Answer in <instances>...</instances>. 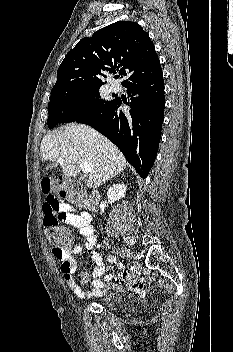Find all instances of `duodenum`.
Wrapping results in <instances>:
<instances>
[{
	"label": "duodenum",
	"instance_id": "duodenum-1",
	"mask_svg": "<svg viewBox=\"0 0 233 352\" xmlns=\"http://www.w3.org/2000/svg\"><path fill=\"white\" fill-rule=\"evenodd\" d=\"M99 200V195L96 191H92L89 195V201L92 206H96Z\"/></svg>",
	"mask_w": 233,
	"mask_h": 352
}]
</instances>
